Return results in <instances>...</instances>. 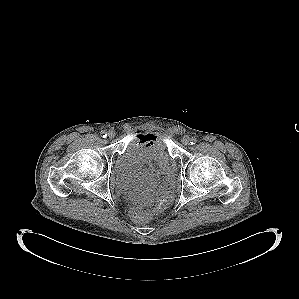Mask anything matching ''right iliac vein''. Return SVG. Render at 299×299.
<instances>
[{
  "instance_id": "63e3f726",
  "label": "right iliac vein",
  "mask_w": 299,
  "mask_h": 299,
  "mask_svg": "<svg viewBox=\"0 0 299 299\" xmlns=\"http://www.w3.org/2000/svg\"><path fill=\"white\" fill-rule=\"evenodd\" d=\"M108 137L109 138H114L115 137V132L114 131H109L108 132Z\"/></svg>"
}]
</instances>
